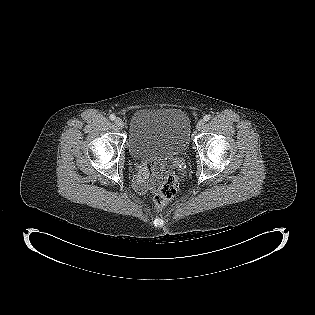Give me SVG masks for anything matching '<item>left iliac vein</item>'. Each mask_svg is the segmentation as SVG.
Masks as SVG:
<instances>
[{
  "label": "left iliac vein",
  "mask_w": 315,
  "mask_h": 315,
  "mask_svg": "<svg viewBox=\"0 0 315 315\" xmlns=\"http://www.w3.org/2000/svg\"><path fill=\"white\" fill-rule=\"evenodd\" d=\"M204 124H205L204 120H199L197 125H196V129L198 131L201 130L204 127Z\"/></svg>",
  "instance_id": "4c4485c4"
}]
</instances>
